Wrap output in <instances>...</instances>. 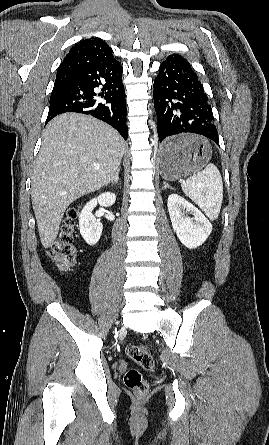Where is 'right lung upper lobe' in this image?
<instances>
[{
	"label": "right lung upper lobe",
	"instance_id": "obj_1",
	"mask_svg": "<svg viewBox=\"0 0 269 445\" xmlns=\"http://www.w3.org/2000/svg\"><path fill=\"white\" fill-rule=\"evenodd\" d=\"M112 57V49L100 38L81 40L59 66L54 87L63 86L82 70Z\"/></svg>",
	"mask_w": 269,
	"mask_h": 445
}]
</instances>
